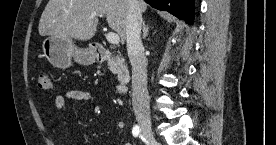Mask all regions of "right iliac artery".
<instances>
[{
	"label": "right iliac artery",
	"mask_w": 276,
	"mask_h": 145,
	"mask_svg": "<svg viewBox=\"0 0 276 145\" xmlns=\"http://www.w3.org/2000/svg\"><path fill=\"white\" fill-rule=\"evenodd\" d=\"M140 127L138 125H135L132 129V134L134 137H137L140 135Z\"/></svg>",
	"instance_id": "1"
}]
</instances>
